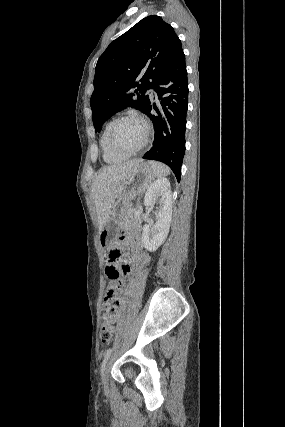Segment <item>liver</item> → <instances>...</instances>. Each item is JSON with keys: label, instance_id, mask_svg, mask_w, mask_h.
Returning <instances> with one entry per match:
<instances>
[{"label": "liver", "instance_id": "6515ba94", "mask_svg": "<svg viewBox=\"0 0 285 427\" xmlns=\"http://www.w3.org/2000/svg\"><path fill=\"white\" fill-rule=\"evenodd\" d=\"M141 160H131L123 164L113 165L99 171L92 186L91 195L94 201L99 232L104 228L120 186L125 182L131 169Z\"/></svg>", "mask_w": 285, "mask_h": 427}]
</instances>
